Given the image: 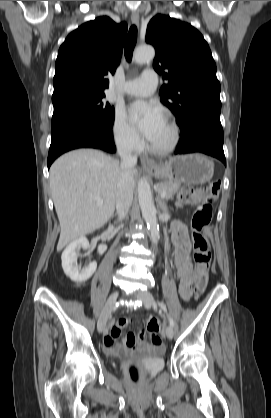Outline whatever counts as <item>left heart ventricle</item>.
<instances>
[{
    "mask_svg": "<svg viewBox=\"0 0 271 418\" xmlns=\"http://www.w3.org/2000/svg\"><path fill=\"white\" fill-rule=\"evenodd\" d=\"M172 139V130L167 123L166 120H164L162 126L156 133L155 137L150 141L152 144L158 147H164L166 146Z\"/></svg>",
    "mask_w": 271,
    "mask_h": 418,
    "instance_id": "b2bd125f",
    "label": "left heart ventricle"
}]
</instances>
